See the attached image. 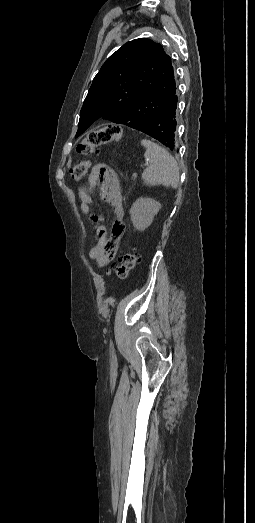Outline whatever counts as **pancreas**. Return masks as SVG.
<instances>
[{
    "label": "pancreas",
    "instance_id": "cf45deb5",
    "mask_svg": "<svg viewBox=\"0 0 255 523\" xmlns=\"http://www.w3.org/2000/svg\"><path fill=\"white\" fill-rule=\"evenodd\" d=\"M137 174H134L133 178H136Z\"/></svg>",
    "mask_w": 255,
    "mask_h": 523
}]
</instances>
